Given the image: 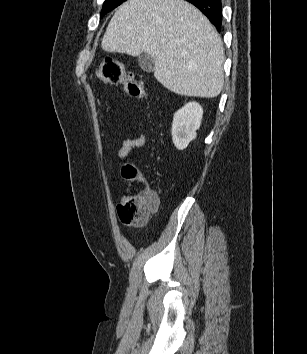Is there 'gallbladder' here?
<instances>
[{"instance_id": "bac80fb5", "label": "gallbladder", "mask_w": 307, "mask_h": 354, "mask_svg": "<svg viewBox=\"0 0 307 354\" xmlns=\"http://www.w3.org/2000/svg\"><path fill=\"white\" fill-rule=\"evenodd\" d=\"M138 63L141 69L145 72H152L154 70L155 61L147 53H144L138 57Z\"/></svg>"}]
</instances>
